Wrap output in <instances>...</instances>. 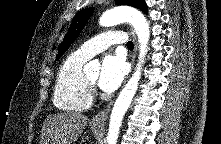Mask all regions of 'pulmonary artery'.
Here are the masks:
<instances>
[{
	"label": "pulmonary artery",
	"instance_id": "pulmonary-artery-1",
	"mask_svg": "<svg viewBox=\"0 0 221 144\" xmlns=\"http://www.w3.org/2000/svg\"><path fill=\"white\" fill-rule=\"evenodd\" d=\"M126 41L127 35L124 32L107 31L82 44L76 53L85 59H90L94 55L106 50L109 46L113 44H123Z\"/></svg>",
	"mask_w": 221,
	"mask_h": 144
}]
</instances>
